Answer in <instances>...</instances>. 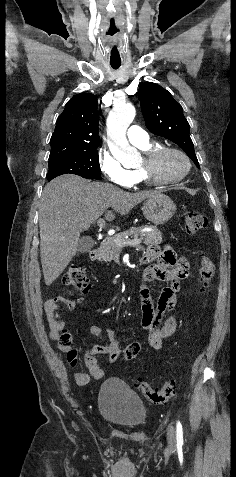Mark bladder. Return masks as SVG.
Masks as SVG:
<instances>
[{"instance_id": "bladder-1", "label": "bladder", "mask_w": 236, "mask_h": 477, "mask_svg": "<svg viewBox=\"0 0 236 477\" xmlns=\"http://www.w3.org/2000/svg\"><path fill=\"white\" fill-rule=\"evenodd\" d=\"M97 397L101 415L107 422L129 429L139 428L146 422L145 405L121 379H106Z\"/></svg>"}]
</instances>
